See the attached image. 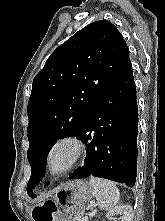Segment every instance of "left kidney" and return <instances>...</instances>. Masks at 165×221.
I'll return each mask as SVG.
<instances>
[{"mask_svg": "<svg viewBox=\"0 0 165 221\" xmlns=\"http://www.w3.org/2000/svg\"><path fill=\"white\" fill-rule=\"evenodd\" d=\"M115 215H121V221H133V209L130 205H119L110 210L106 217L112 218Z\"/></svg>", "mask_w": 165, "mask_h": 221, "instance_id": "5707ae66", "label": "left kidney"}]
</instances>
